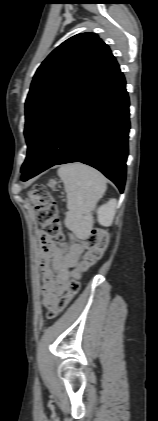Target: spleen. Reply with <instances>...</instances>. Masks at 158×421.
<instances>
[{"instance_id":"1","label":"spleen","mask_w":158,"mask_h":421,"mask_svg":"<svg viewBox=\"0 0 158 421\" xmlns=\"http://www.w3.org/2000/svg\"><path fill=\"white\" fill-rule=\"evenodd\" d=\"M58 176L67 194L65 225L76 237L86 238L93 225L92 212L106 191V178L98 170L81 163L61 166Z\"/></svg>"}]
</instances>
